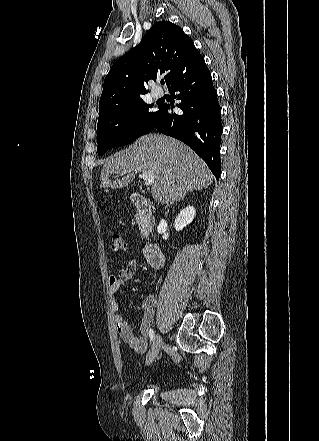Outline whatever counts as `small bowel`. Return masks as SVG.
Returning <instances> with one entry per match:
<instances>
[{
  "label": "small bowel",
  "instance_id": "c3829d8e",
  "mask_svg": "<svg viewBox=\"0 0 319 441\" xmlns=\"http://www.w3.org/2000/svg\"><path fill=\"white\" fill-rule=\"evenodd\" d=\"M138 262L132 259L128 264L120 269L117 274L111 275L109 278V293L112 299V307L114 310L120 308L119 292L122 286L129 281L136 273ZM156 305V296L151 294L146 296L142 301L143 316L140 326V336H136L123 316L116 313L114 316L117 332L121 340L138 354H143L148 348V334L150 326L154 320V310Z\"/></svg>",
  "mask_w": 319,
  "mask_h": 441
}]
</instances>
